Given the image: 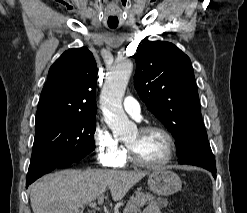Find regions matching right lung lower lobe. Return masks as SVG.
Returning <instances> with one entry per match:
<instances>
[{"label": "right lung lower lobe", "instance_id": "98d812e1", "mask_svg": "<svg viewBox=\"0 0 247 213\" xmlns=\"http://www.w3.org/2000/svg\"><path fill=\"white\" fill-rule=\"evenodd\" d=\"M80 160L81 159L76 160V161H69V160H57V159H54L50 163H45L46 167H45L44 171L42 173L38 174V175H30V173H29L30 168H29V171H28V174H27L26 185L29 186L36 179H38L39 177H41L42 175H44V174H46L48 172H51L55 168L66 167V166H68V165H70L72 163H76V162H78Z\"/></svg>", "mask_w": 247, "mask_h": 213}]
</instances>
